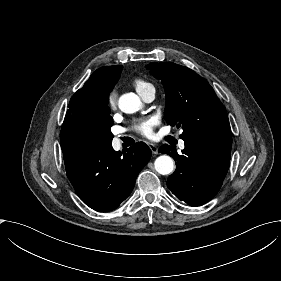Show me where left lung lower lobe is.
Segmentation results:
<instances>
[{
	"label": "left lung lower lobe",
	"mask_w": 281,
	"mask_h": 281,
	"mask_svg": "<svg viewBox=\"0 0 281 281\" xmlns=\"http://www.w3.org/2000/svg\"><path fill=\"white\" fill-rule=\"evenodd\" d=\"M183 155L164 144L159 152L176 161V170L169 176L167 186L181 201L200 206L219 191L230 165L231 138L189 139Z\"/></svg>",
	"instance_id": "obj_1"
}]
</instances>
